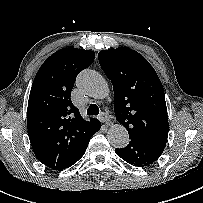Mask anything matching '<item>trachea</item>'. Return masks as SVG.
<instances>
[{
  "instance_id": "1",
  "label": "trachea",
  "mask_w": 203,
  "mask_h": 203,
  "mask_svg": "<svg viewBox=\"0 0 203 203\" xmlns=\"http://www.w3.org/2000/svg\"><path fill=\"white\" fill-rule=\"evenodd\" d=\"M87 114L90 115V116L98 115L99 114L98 106L96 104H91L89 106V108L87 109Z\"/></svg>"
}]
</instances>
